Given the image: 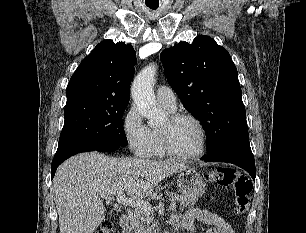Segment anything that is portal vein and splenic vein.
Listing matches in <instances>:
<instances>
[{"mask_svg": "<svg viewBox=\"0 0 306 233\" xmlns=\"http://www.w3.org/2000/svg\"><path fill=\"white\" fill-rule=\"evenodd\" d=\"M106 200H112L113 198L110 196H104ZM116 202L119 204H123L126 206H132L136 209L143 210L145 212H152L153 208L149 202L143 201L138 198H127L124 193H118L116 195ZM170 208L175 209L176 203L172 202L170 203Z\"/></svg>", "mask_w": 306, "mask_h": 233, "instance_id": "portal-vein-and-splenic-vein-1", "label": "portal vein and splenic vein"}]
</instances>
